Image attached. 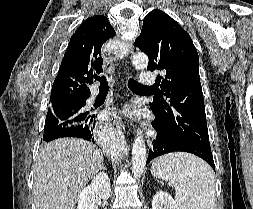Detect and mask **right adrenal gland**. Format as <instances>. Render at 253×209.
I'll return each instance as SVG.
<instances>
[{"label":"right adrenal gland","instance_id":"right-adrenal-gland-1","mask_svg":"<svg viewBox=\"0 0 253 209\" xmlns=\"http://www.w3.org/2000/svg\"><path fill=\"white\" fill-rule=\"evenodd\" d=\"M102 170H107L106 167H102Z\"/></svg>","mask_w":253,"mask_h":209}]
</instances>
